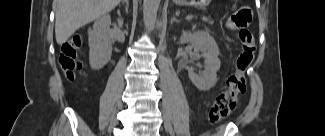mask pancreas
Returning a JSON list of instances; mask_svg holds the SVG:
<instances>
[{"instance_id":"obj_1","label":"pancreas","mask_w":325,"mask_h":136,"mask_svg":"<svg viewBox=\"0 0 325 136\" xmlns=\"http://www.w3.org/2000/svg\"><path fill=\"white\" fill-rule=\"evenodd\" d=\"M211 14L210 12H198L197 18L202 19V22H206V19H210Z\"/></svg>"}]
</instances>
